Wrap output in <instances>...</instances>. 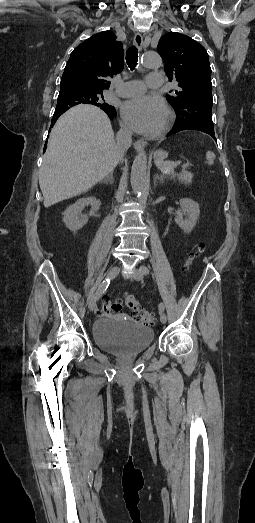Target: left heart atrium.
<instances>
[{"mask_svg": "<svg viewBox=\"0 0 255 523\" xmlns=\"http://www.w3.org/2000/svg\"><path fill=\"white\" fill-rule=\"evenodd\" d=\"M122 115L126 122L138 132L154 134L161 130L163 117L166 113L165 103L158 97L142 96L122 104Z\"/></svg>", "mask_w": 255, "mask_h": 523, "instance_id": "obj_1", "label": "left heart atrium"}]
</instances>
